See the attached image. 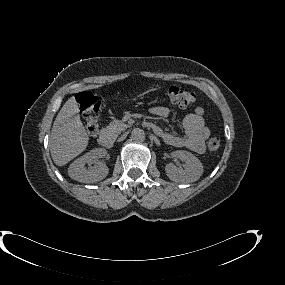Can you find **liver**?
<instances>
[{"mask_svg":"<svg viewBox=\"0 0 285 285\" xmlns=\"http://www.w3.org/2000/svg\"><path fill=\"white\" fill-rule=\"evenodd\" d=\"M88 142L78 103L71 97L59 111L51 130L50 151L54 163L57 166L67 164L86 149Z\"/></svg>","mask_w":285,"mask_h":285,"instance_id":"6515ba94","label":"liver"}]
</instances>
